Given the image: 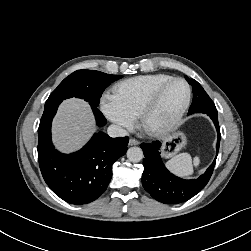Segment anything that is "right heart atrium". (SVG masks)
Listing matches in <instances>:
<instances>
[{
    "mask_svg": "<svg viewBox=\"0 0 251 251\" xmlns=\"http://www.w3.org/2000/svg\"><path fill=\"white\" fill-rule=\"evenodd\" d=\"M100 108L105 117L122 130L133 129L135 117L122 106L115 94L104 93L100 99Z\"/></svg>",
    "mask_w": 251,
    "mask_h": 251,
    "instance_id": "d8ad5b80",
    "label": "right heart atrium"
}]
</instances>
